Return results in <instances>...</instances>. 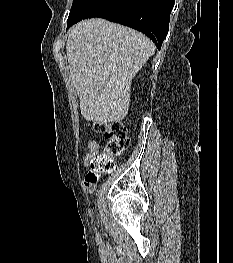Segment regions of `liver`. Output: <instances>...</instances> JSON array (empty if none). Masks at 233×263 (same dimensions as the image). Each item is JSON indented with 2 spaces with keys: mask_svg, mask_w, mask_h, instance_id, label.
I'll use <instances>...</instances> for the list:
<instances>
[{
  "mask_svg": "<svg viewBox=\"0 0 233 263\" xmlns=\"http://www.w3.org/2000/svg\"><path fill=\"white\" fill-rule=\"evenodd\" d=\"M154 51L153 42L144 34L105 19L74 25L66 52L82 116L103 124L124 119L132 79Z\"/></svg>",
  "mask_w": 233,
  "mask_h": 263,
  "instance_id": "1",
  "label": "liver"
}]
</instances>
